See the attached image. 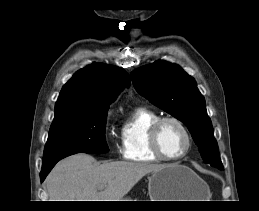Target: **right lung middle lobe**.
<instances>
[{
	"mask_svg": "<svg viewBox=\"0 0 259 211\" xmlns=\"http://www.w3.org/2000/svg\"><path fill=\"white\" fill-rule=\"evenodd\" d=\"M108 109H71L54 117L42 165L75 153H106L105 123Z\"/></svg>",
	"mask_w": 259,
	"mask_h": 211,
	"instance_id": "dd1d6c3e",
	"label": "right lung middle lobe"
}]
</instances>
